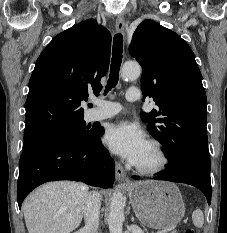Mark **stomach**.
Wrapping results in <instances>:
<instances>
[{"label":"stomach","mask_w":227,"mask_h":233,"mask_svg":"<svg viewBox=\"0 0 227 233\" xmlns=\"http://www.w3.org/2000/svg\"><path fill=\"white\" fill-rule=\"evenodd\" d=\"M128 194L136 216L149 228H170L184 217L182 195L170 182H137L128 188Z\"/></svg>","instance_id":"1"}]
</instances>
